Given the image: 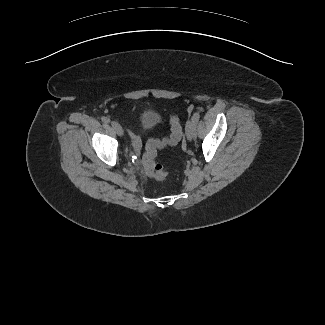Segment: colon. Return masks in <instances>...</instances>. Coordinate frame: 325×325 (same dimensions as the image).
Segmentation results:
<instances>
[{
  "label": "colon",
  "instance_id": "5ec220e1",
  "mask_svg": "<svg viewBox=\"0 0 325 325\" xmlns=\"http://www.w3.org/2000/svg\"><path fill=\"white\" fill-rule=\"evenodd\" d=\"M170 130L171 133L168 137L163 139H151L145 147L143 164L148 175L155 179H164L168 174V171L162 165L155 162L158 150L178 144L183 136L182 126L176 114H172L170 117Z\"/></svg>",
  "mask_w": 325,
  "mask_h": 325
}]
</instances>
